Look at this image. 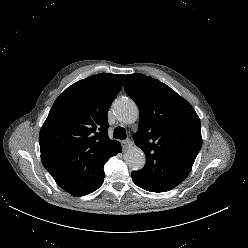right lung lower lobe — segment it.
Returning <instances> with one entry per match:
<instances>
[{"mask_svg": "<svg viewBox=\"0 0 248 248\" xmlns=\"http://www.w3.org/2000/svg\"><path fill=\"white\" fill-rule=\"evenodd\" d=\"M119 152H121V145H120L119 148L116 150L115 155H116L117 153H119ZM103 181H104V177L100 180V182L95 186V188H94L91 192L97 190V189L102 185ZM91 192H90V193H91ZM88 194H89V193H88Z\"/></svg>", "mask_w": 248, "mask_h": 248, "instance_id": "98d812e1", "label": "right lung lower lobe"}]
</instances>
